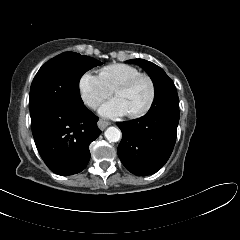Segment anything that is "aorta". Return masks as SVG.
Masks as SVG:
<instances>
[{
    "mask_svg": "<svg viewBox=\"0 0 240 240\" xmlns=\"http://www.w3.org/2000/svg\"><path fill=\"white\" fill-rule=\"evenodd\" d=\"M104 134L109 142H118L121 138V131L113 126L107 128Z\"/></svg>",
    "mask_w": 240,
    "mask_h": 240,
    "instance_id": "obj_1",
    "label": "aorta"
}]
</instances>
